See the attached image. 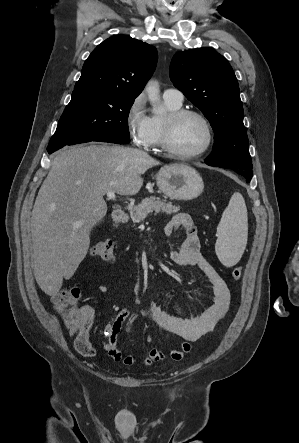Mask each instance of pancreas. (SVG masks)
I'll return each mask as SVG.
<instances>
[{
	"label": "pancreas",
	"instance_id": "cf45deb5",
	"mask_svg": "<svg viewBox=\"0 0 299 443\" xmlns=\"http://www.w3.org/2000/svg\"><path fill=\"white\" fill-rule=\"evenodd\" d=\"M132 219L134 223L142 222L148 214L155 211V213H166L173 214L177 213L180 210L179 206L172 205L171 202H166V200H161L158 197L151 196L150 198H146L142 200L136 206H133L131 209Z\"/></svg>",
	"mask_w": 299,
	"mask_h": 443
}]
</instances>
